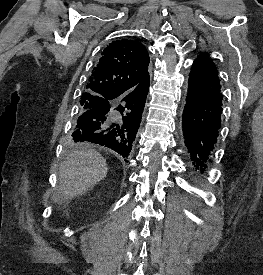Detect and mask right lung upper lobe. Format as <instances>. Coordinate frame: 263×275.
<instances>
[{
  "label": "right lung upper lobe",
  "mask_w": 263,
  "mask_h": 275,
  "mask_svg": "<svg viewBox=\"0 0 263 275\" xmlns=\"http://www.w3.org/2000/svg\"><path fill=\"white\" fill-rule=\"evenodd\" d=\"M148 64V52L140 42L113 41L101 53L82 95L91 94L102 99L117 93L128 95V104L142 111L145 102L139 95L149 77Z\"/></svg>",
  "instance_id": "obj_1"
}]
</instances>
